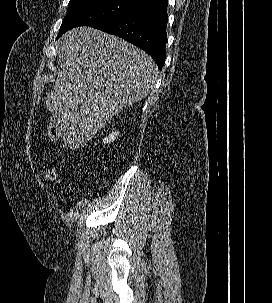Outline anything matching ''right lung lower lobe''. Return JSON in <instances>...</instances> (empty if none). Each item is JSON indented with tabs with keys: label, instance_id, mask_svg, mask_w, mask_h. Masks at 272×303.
<instances>
[{
	"label": "right lung lower lobe",
	"instance_id": "1",
	"mask_svg": "<svg viewBox=\"0 0 272 303\" xmlns=\"http://www.w3.org/2000/svg\"><path fill=\"white\" fill-rule=\"evenodd\" d=\"M168 0L100 21L91 27L121 37L151 55L159 69L166 58Z\"/></svg>",
	"mask_w": 272,
	"mask_h": 303
}]
</instances>
